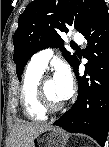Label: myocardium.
<instances>
[{"label":"myocardium","mask_w":109,"mask_h":147,"mask_svg":"<svg viewBox=\"0 0 109 147\" xmlns=\"http://www.w3.org/2000/svg\"><path fill=\"white\" fill-rule=\"evenodd\" d=\"M50 76H43L37 85V101L39 106L47 113H56L62 110L64 103L53 104L49 100L44 90V84L46 80L50 79Z\"/></svg>","instance_id":"f54148a6"}]
</instances>
